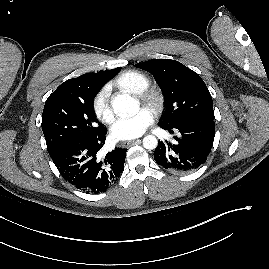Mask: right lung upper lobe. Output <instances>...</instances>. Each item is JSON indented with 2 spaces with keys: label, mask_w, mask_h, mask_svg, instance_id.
<instances>
[{
  "label": "right lung upper lobe",
  "mask_w": 269,
  "mask_h": 269,
  "mask_svg": "<svg viewBox=\"0 0 269 269\" xmlns=\"http://www.w3.org/2000/svg\"><path fill=\"white\" fill-rule=\"evenodd\" d=\"M119 69L115 68L109 71L88 73L77 78L69 79L62 83L53 93H60L75 88L100 87L101 89L109 79L120 71Z\"/></svg>",
  "instance_id": "1"
}]
</instances>
